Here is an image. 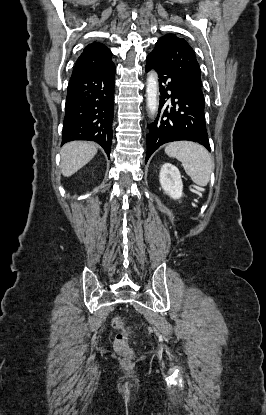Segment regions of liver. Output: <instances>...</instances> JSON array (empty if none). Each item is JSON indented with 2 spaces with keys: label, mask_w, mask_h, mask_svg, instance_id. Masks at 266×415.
I'll return each instance as SVG.
<instances>
[{
  "label": "liver",
  "mask_w": 266,
  "mask_h": 415,
  "mask_svg": "<svg viewBox=\"0 0 266 415\" xmlns=\"http://www.w3.org/2000/svg\"><path fill=\"white\" fill-rule=\"evenodd\" d=\"M97 153V145L86 141H72L61 149V173L70 177L85 166Z\"/></svg>",
  "instance_id": "obj_1"
}]
</instances>
